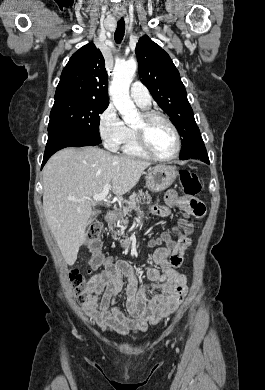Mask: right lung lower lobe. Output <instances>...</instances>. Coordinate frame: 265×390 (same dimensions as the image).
<instances>
[{
    "mask_svg": "<svg viewBox=\"0 0 265 390\" xmlns=\"http://www.w3.org/2000/svg\"><path fill=\"white\" fill-rule=\"evenodd\" d=\"M98 144H100V142L93 141L80 135L68 132H56L51 135H48V141L46 144L45 154L41 168H43L47 160L60 149L66 147L95 146Z\"/></svg>",
    "mask_w": 265,
    "mask_h": 390,
    "instance_id": "98d812e1",
    "label": "right lung lower lobe"
}]
</instances>
